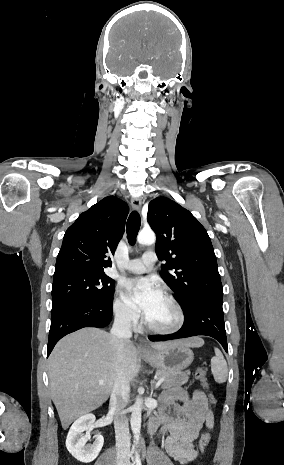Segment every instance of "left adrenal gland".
I'll return each instance as SVG.
<instances>
[{"instance_id": "a2214340", "label": "left adrenal gland", "mask_w": 284, "mask_h": 465, "mask_svg": "<svg viewBox=\"0 0 284 465\" xmlns=\"http://www.w3.org/2000/svg\"><path fill=\"white\" fill-rule=\"evenodd\" d=\"M154 385H155V381H151V395H153ZM153 397H157L156 393H154Z\"/></svg>"}]
</instances>
